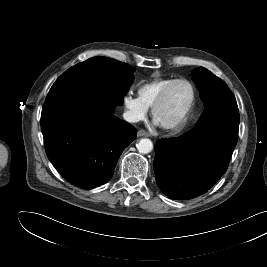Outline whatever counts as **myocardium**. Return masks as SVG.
<instances>
[{"instance_id":"myocardium-1","label":"myocardium","mask_w":267,"mask_h":267,"mask_svg":"<svg viewBox=\"0 0 267 267\" xmlns=\"http://www.w3.org/2000/svg\"><path fill=\"white\" fill-rule=\"evenodd\" d=\"M179 83H186L190 86L191 91H192V98H191V101H190L188 107L186 108L185 112L183 113V115L179 119H177L176 121H174L172 123H168V124H160L159 123V125L165 130L176 131V130H180L181 128H183L184 125L186 124V122L188 121L190 113H191L193 106L195 104L196 91H195V87L192 84V82H190L187 79H176L175 81L168 84L154 100V102L151 106V115H152L153 119L157 122V120H156L157 110L165 102V100L167 99L171 90Z\"/></svg>"}]
</instances>
